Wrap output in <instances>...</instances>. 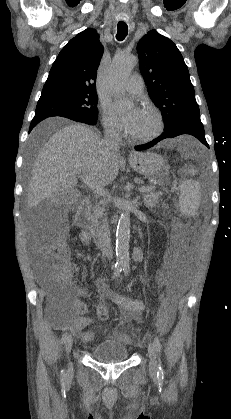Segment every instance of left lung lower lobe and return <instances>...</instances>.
Returning <instances> with one entry per match:
<instances>
[{
  "label": "left lung lower lobe",
  "instance_id": "obj_1",
  "mask_svg": "<svg viewBox=\"0 0 231 419\" xmlns=\"http://www.w3.org/2000/svg\"><path fill=\"white\" fill-rule=\"evenodd\" d=\"M188 134L196 137L200 142H202L205 146L209 147L204 133V127L201 123V120H186L179 124L177 127L170 129L168 131H164V133L159 136L158 138L154 139L153 141L136 146L135 149L137 151L144 150L154 146L159 141L166 139V138H173L179 135Z\"/></svg>",
  "mask_w": 231,
  "mask_h": 419
}]
</instances>
